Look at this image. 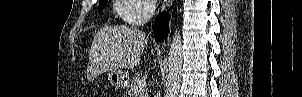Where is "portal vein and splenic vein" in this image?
Returning a JSON list of instances; mask_svg holds the SVG:
<instances>
[{
	"label": "portal vein and splenic vein",
	"instance_id": "18ae733b",
	"mask_svg": "<svg viewBox=\"0 0 302 97\" xmlns=\"http://www.w3.org/2000/svg\"><path fill=\"white\" fill-rule=\"evenodd\" d=\"M145 88H146V81L145 79H141L136 85V90L137 92H141L144 91Z\"/></svg>",
	"mask_w": 302,
	"mask_h": 97
}]
</instances>
